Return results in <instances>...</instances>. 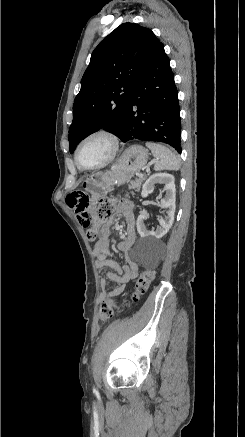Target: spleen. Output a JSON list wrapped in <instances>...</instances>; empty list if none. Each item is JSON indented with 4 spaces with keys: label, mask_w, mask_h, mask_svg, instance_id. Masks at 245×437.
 Here are the masks:
<instances>
[{
    "label": "spleen",
    "mask_w": 245,
    "mask_h": 437,
    "mask_svg": "<svg viewBox=\"0 0 245 437\" xmlns=\"http://www.w3.org/2000/svg\"><path fill=\"white\" fill-rule=\"evenodd\" d=\"M146 146L156 158L155 171L179 170L180 159L172 150L162 144L154 142H146Z\"/></svg>",
    "instance_id": "obj_1"
}]
</instances>
